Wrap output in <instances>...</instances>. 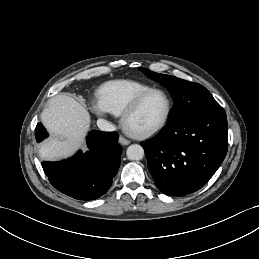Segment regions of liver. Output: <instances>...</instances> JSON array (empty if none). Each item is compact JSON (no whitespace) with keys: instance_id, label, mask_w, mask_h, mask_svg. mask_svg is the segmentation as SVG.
Returning <instances> with one entry per match:
<instances>
[{"instance_id":"obj_1","label":"liver","mask_w":259,"mask_h":259,"mask_svg":"<svg viewBox=\"0 0 259 259\" xmlns=\"http://www.w3.org/2000/svg\"><path fill=\"white\" fill-rule=\"evenodd\" d=\"M43 125L53 134L40 146V155L46 160L71 156L85 148V136L90 126L87 109L74 98L58 94L51 98L41 113Z\"/></svg>"}]
</instances>
